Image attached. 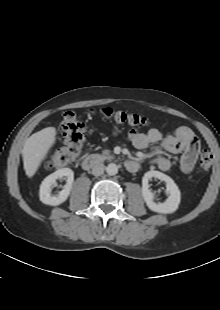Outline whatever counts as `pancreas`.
Here are the masks:
<instances>
[{"mask_svg": "<svg viewBox=\"0 0 220 310\" xmlns=\"http://www.w3.org/2000/svg\"><path fill=\"white\" fill-rule=\"evenodd\" d=\"M110 150H104L103 151V153H102V155H103V157H105V158H112V156L110 155Z\"/></svg>", "mask_w": 220, "mask_h": 310, "instance_id": "cf45deb5", "label": "pancreas"}]
</instances>
